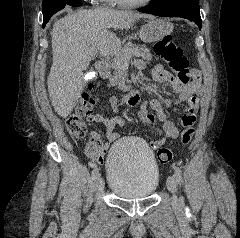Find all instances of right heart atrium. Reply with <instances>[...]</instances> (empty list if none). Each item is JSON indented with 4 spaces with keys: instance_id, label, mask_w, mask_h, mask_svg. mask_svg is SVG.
I'll return each mask as SVG.
<instances>
[{
    "instance_id": "obj_1",
    "label": "right heart atrium",
    "mask_w": 240,
    "mask_h": 238,
    "mask_svg": "<svg viewBox=\"0 0 240 238\" xmlns=\"http://www.w3.org/2000/svg\"><path fill=\"white\" fill-rule=\"evenodd\" d=\"M90 1L92 3H107L110 2L111 0H87Z\"/></svg>"
}]
</instances>
